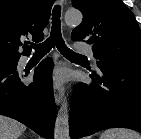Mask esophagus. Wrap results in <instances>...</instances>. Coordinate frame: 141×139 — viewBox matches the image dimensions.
<instances>
[{
  "label": "esophagus",
  "mask_w": 141,
  "mask_h": 139,
  "mask_svg": "<svg viewBox=\"0 0 141 139\" xmlns=\"http://www.w3.org/2000/svg\"><path fill=\"white\" fill-rule=\"evenodd\" d=\"M65 1L66 0H61L62 3H64ZM64 94H65L64 87L59 84H55L54 99L57 105H59L62 102V100L64 99Z\"/></svg>",
  "instance_id": "34e87169"
}]
</instances>
